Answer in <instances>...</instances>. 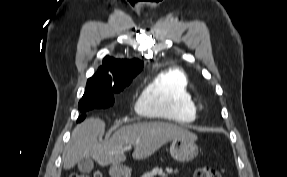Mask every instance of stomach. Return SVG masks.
<instances>
[{"label":"stomach","instance_id":"1","mask_svg":"<svg viewBox=\"0 0 287 177\" xmlns=\"http://www.w3.org/2000/svg\"><path fill=\"white\" fill-rule=\"evenodd\" d=\"M170 154L179 162H189L198 155V146L191 138L174 139L170 146ZM129 172V168L121 164H112L109 170L111 177H128Z\"/></svg>","mask_w":287,"mask_h":177}]
</instances>
